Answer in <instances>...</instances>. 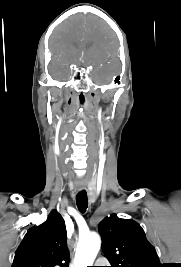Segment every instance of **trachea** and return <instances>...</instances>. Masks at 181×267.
<instances>
[{
    "label": "trachea",
    "instance_id": "1",
    "mask_svg": "<svg viewBox=\"0 0 181 267\" xmlns=\"http://www.w3.org/2000/svg\"><path fill=\"white\" fill-rule=\"evenodd\" d=\"M76 203H77V207L79 211L81 213H84L88 206V198H87V193L85 190H82L81 192L77 194Z\"/></svg>",
    "mask_w": 181,
    "mask_h": 267
}]
</instances>
